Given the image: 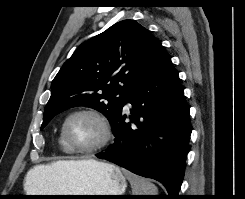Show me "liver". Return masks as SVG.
Instances as JSON below:
<instances>
[{"label":"liver","mask_w":245,"mask_h":199,"mask_svg":"<svg viewBox=\"0 0 245 199\" xmlns=\"http://www.w3.org/2000/svg\"><path fill=\"white\" fill-rule=\"evenodd\" d=\"M94 160H59L48 165L33 167L26 176L27 190H41L45 193H62L67 191L65 182L71 174L84 164Z\"/></svg>","instance_id":"6515ba94"}]
</instances>
